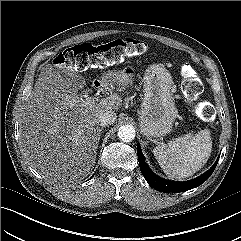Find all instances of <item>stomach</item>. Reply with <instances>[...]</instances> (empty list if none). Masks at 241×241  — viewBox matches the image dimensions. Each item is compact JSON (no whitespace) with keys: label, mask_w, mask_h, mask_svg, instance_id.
Instances as JSON below:
<instances>
[{"label":"stomach","mask_w":241,"mask_h":241,"mask_svg":"<svg viewBox=\"0 0 241 241\" xmlns=\"http://www.w3.org/2000/svg\"><path fill=\"white\" fill-rule=\"evenodd\" d=\"M121 85L132 79V71L116 74ZM143 92L139 114L140 130L148 139L168 134L178 116L173 98L174 83L170 73L161 66L149 67L143 77Z\"/></svg>","instance_id":"1"}]
</instances>
